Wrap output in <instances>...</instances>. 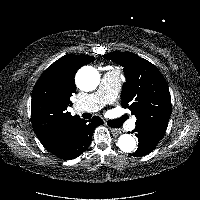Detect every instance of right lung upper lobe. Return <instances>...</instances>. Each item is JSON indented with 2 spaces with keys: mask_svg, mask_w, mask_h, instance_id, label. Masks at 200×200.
I'll use <instances>...</instances> for the list:
<instances>
[{
  "mask_svg": "<svg viewBox=\"0 0 200 200\" xmlns=\"http://www.w3.org/2000/svg\"><path fill=\"white\" fill-rule=\"evenodd\" d=\"M93 56L66 55L50 65L40 76L32 91L31 122L44 146L49 145L65 129L80 119L72 116L67 107L75 93L77 70L90 63Z\"/></svg>",
  "mask_w": 200,
  "mask_h": 200,
  "instance_id": "cb5924a9",
  "label": "right lung upper lobe"
}]
</instances>
